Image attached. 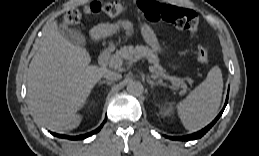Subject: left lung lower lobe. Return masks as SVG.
Listing matches in <instances>:
<instances>
[{"instance_id": "left-lung-lower-lobe-1", "label": "left lung lower lobe", "mask_w": 259, "mask_h": 156, "mask_svg": "<svg viewBox=\"0 0 259 156\" xmlns=\"http://www.w3.org/2000/svg\"><path fill=\"white\" fill-rule=\"evenodd\" d=\"M227 101H228V96H227V99H226V102H225V105L222 109V111L219 113V115L214 119V121L212 123H210L207 127H205L204 129L196 132V133H193V134H190V135H187V136H181V137H171V136H167V138L169 139H173V140H180V141H188V140H194V139H198V138H201L214 124L215 122L219 119V117L222 115L226 105H227Z\"/></svg>"}]
</instances>
